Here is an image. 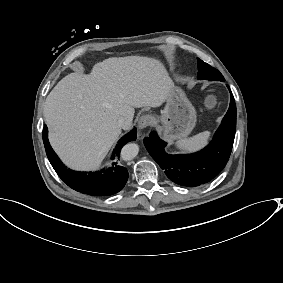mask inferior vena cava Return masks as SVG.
Masks as SVG:
<instances>
[{"label":"inferior vena cava","mask_w":283,"mask_h":283,"mask_svg":"<svg viewBox=\"0 0 283 283\" xmlns=\"http://www.w3.org/2000/svg\"><path fill=\"white\" fill-rule=\"evenodd\" d=\"M118 125L122 128V129H128L129 127V123L124 119V118H121L118 120Z\"/></svg>","instance_id":"1"}]
</instances>
